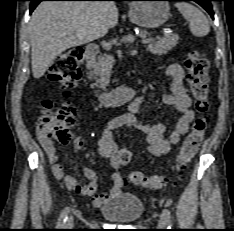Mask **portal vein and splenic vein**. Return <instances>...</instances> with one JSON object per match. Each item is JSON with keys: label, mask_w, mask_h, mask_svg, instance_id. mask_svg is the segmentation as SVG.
<instances>
[{"label": "portal vein and splenic vein", "mask_w": 234, "mask_h": 231, "mask_svg": "<svg viewBox=\"0 0 234 231\" xmlns=\"http://www.w3.org/2000/svg\"><path fill=\"white\" fill-rule=\"evenodd\" d=\"M151 41H153V39H146V38H144V39L142 40V43H143V44H147V43H149V42H151Z\"/></svg>", "instance_id": "portal-vein-and-splenic-vein-1"}]
</instances>
